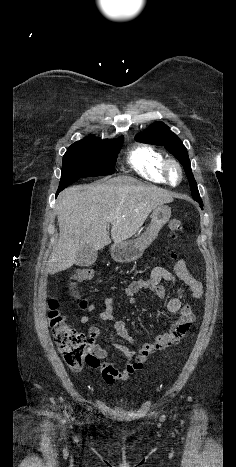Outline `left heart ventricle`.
Masks as SVG:
<instances>
[{"instance_id": "obj_1", "label": "left heart ventricle", "mask_w": 236, "mask_h": 467, "mask_svg": "<svg viewBox=\"0 0 236 467\" xmlns=\"http://www.w3.org/2000/svg\"><path fill=\"white\" fill-rule=\"evenodd\" d=\"M171 177H172L173 181H177V180H178V173H177V171L175 170V168H172Z\"/></svg>"}]
</instances>
